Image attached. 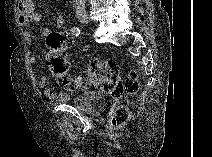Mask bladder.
Here are the masks:
<instances>
[{
  "mask_svg": "<svg viewBox=\"0 0 212 157\" xmlns=\"http://www.w3.org/2000/svg\"><path fill=\"white\" fill-rule=\"evenodd\" d=\"M106 94L96 90H85L71 96L70 104L89 114L101 112L106 104Z\"/></svg>",
  "mask_w": 212,
  "mask_h": 157,
  "instance_id": "bladder-1",
  "label": "bladder"
}]
</instances>
